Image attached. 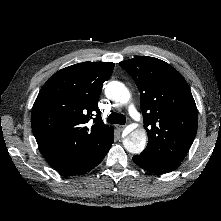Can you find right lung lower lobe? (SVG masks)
Returning a JSON list of instances; mask_svg holds the SVG:
<instances>
[{"mask_svg":"<svg viewBox=\"0 0 221 221\" xmlns=\"http://www.w3.org/2000/svg\"><path fill=\"white\" fill-rule=\"evenodd\" d=\"M113 141H114V138H112V141H111V144H110L109 148L106 151H104L101 155H99L98 157H96L91 162L87 163L86 165L80 167L79 169L73 170L69 173H66L65 175H70V176L80 175V174L86 173V172L92 170L93 168H95L104 159V157L107 154V152L109 151Z\"/></svg>","mask_w":221,"mask_h":221,"instance_id":"98d812e1","label":"right lung lower lobe"}]
</instances>
